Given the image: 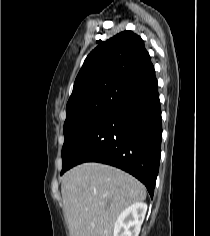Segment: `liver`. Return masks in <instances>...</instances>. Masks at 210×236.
Returning a JSON list of instances; mask_svg holds the SVG:
<instances>
[{"instance_id": "obj_1", "label": "liver", "mask_w": 210, "mask_h": 236, "mask_svg": "<svg viewBox=\"0 0 210 236\" xmlns=\"http://www.w3.org/2000/svg\"><path fill=\"white\" fill-rule=\"evenodd\" d=\"M61 193L70 236H112L116 219L146 189L131 175L100 163H83L62 178Z\"/></svg>"}]
</instances>
